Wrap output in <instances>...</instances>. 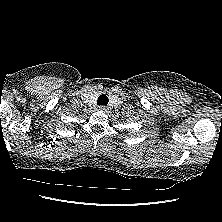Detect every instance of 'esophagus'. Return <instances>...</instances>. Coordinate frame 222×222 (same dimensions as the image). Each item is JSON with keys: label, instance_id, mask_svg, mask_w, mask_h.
<instances>
[{"label": "esophagus", "instance_id": "obj_1", "mask_svg": "<svg viewBox=\"0 0 222 222\" xmlns=\"http://www.w3.org/2000/svg\"><path fill=\"white\" fill-rule=\"evenodd\" d=\"M99 110L102 111V112H106L107 111V108L105 106H100L99 107Z\"/></svg>", "mask_w": 222, "mask_h": 222}]
</instances>
